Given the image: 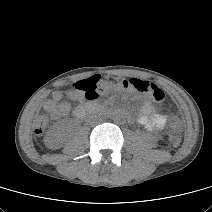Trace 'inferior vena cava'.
Listing matches in <instances>:
<instances>
[{"label":"inferior vena cava","mask_w":212,"mask_h":212,"mask_svg":"<svg viewBox=\"0 0 212 212\" xmlns=\"http://www.w3.org/2000/svg\"><path fill=\"white\" fill-rule=\"evenodd\" d=\"M97 120H98V118L97 117H94V116H88L87 119H86V121L88 123H91V124L97 122Z\"/></svg>","instance_id":"obj_1"}]
</instances>
